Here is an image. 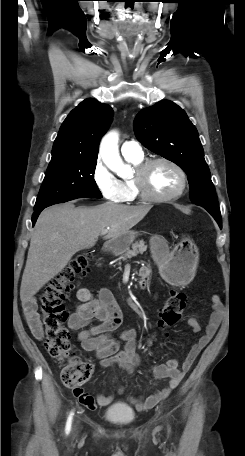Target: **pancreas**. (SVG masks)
<instances>
[{
    "label": "pancreas",
    "instance_id": "cf45deb5",
    "mask_svg": "<svg viewBox=\"0 0 245 456\" xmlns=\"http://www.w3.org/2000/svg\"><path fill=\"white\" fill-rule=\"evenodd\" d=\"M146 250L147 246L145 245V242L143 240H140L132 244V249L127 248L122 251H117L115 254L120 255V258L125 260L127 258L137 256L139 253L143 254Z\"/></svg>",
    "mask_w": 245,
    "mask_h": 456
}]
</instances>
